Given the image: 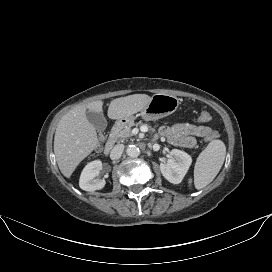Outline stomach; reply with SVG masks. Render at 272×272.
Masks as SVG:
<instances>
[{
	"mask_svg": "<svg viewBox=\"0 0 272 272\" xmlns=\"http://www.w3.org/2000/svg\"><path fill=\"white\" fill-rule=\"evenodd\" d=\"M180 101L177 97L169 94H155L151 97L149 103L140 111V116L146 120H157L174 113ZM133 116L122 118L118 121L119 124L125 125L132 122Z\"/></svg>",
	"mask_w": 272,
	"mask_h": 272,
	"instance_id": "0dacf381",
	"label": "stomach"
}]
</instances>
